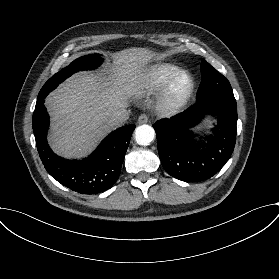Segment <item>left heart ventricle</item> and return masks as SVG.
I'll list each match as a JSON object with an SVG mask.
<instances>
[{"instance_id":"b2bd125f","label":"left heart ventricle","mask_w":279,"mask_h":279,"mask_svg":"<svg viewBox=\"0 0 279 279\" xmlns=\"http://www.w3.org/2000/svg\"><path fill=\"white\" fill-rule=\"evenodd\" d=\"M187 87H188V79L186 76H182L178 80V82L175 86V91H176V93L181 94L187 89Z\"/></svg>"}]
</instances>
